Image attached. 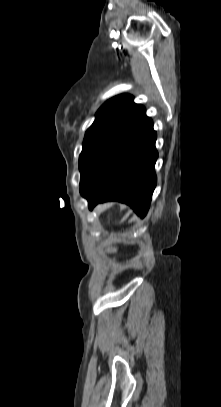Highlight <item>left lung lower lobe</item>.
<instances>
[{"instance_id": "0a47b994", "label": "left lung lower lobe", "mask_w": 221, "mask_h": 407, "mask_svg": "<svg viewBox=\"0 0 221 407\" xmlns=\"http://www.w3.org/2000/svg\"><path fill=\"white\" fill-rule=\"evenodd\" d=\"M156 137L153 122L142 107L80 187L90 210L98 203L120 201L141 217L147 214L157 181Z\"/></svg>"}]
</instances>
